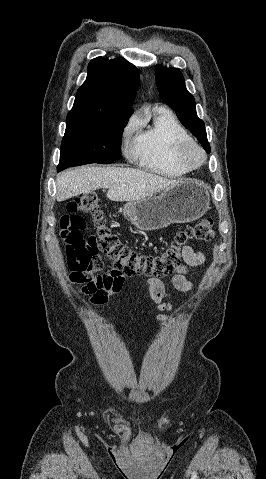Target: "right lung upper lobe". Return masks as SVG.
I'll return each mask as SVG.
<instances>
[{
  "mask_svg": "<svg viewBox=\"0 0 266 479\" xmlns=\"http://www.w3.org/2000/svg\"><path fill=\"white\" fill-rule=\"evenodd\" d=\"M88 76L78 89L73 108L67 117H130L136 96L139 73L122 57L92 59Z\"/></svg>",
  "mask_w": 266,
  "mask_h": 479,
  "instance_id": "cb5924a9",
  "label": "right lung upper lobe"
}]
</instances>
